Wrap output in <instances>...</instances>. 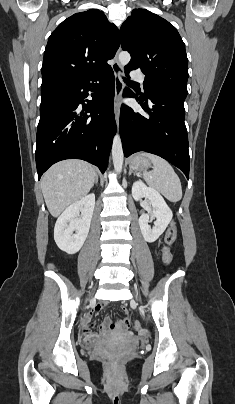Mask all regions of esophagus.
Masks as SVG:
<instances>
[{"instance_id": "esophagus-1", "label": "esophagus", "mask_w": 235, "mask_h": 404, "mask_svg": "<svg viewBox=\"0 0 235 404\" xmlns=\"http://www.w3.org/2000/svg\"><path fill=\"white\" fill-rule=\"evenodd\" d=\"M120 48L118 49L115 57H114V64L112 66L114 77H115V95H114V113L116 123H119V115H120V107H121V95L123 91V80H122V73L123 68L118 61V54Z\"/></svg>"}]
</instances>
